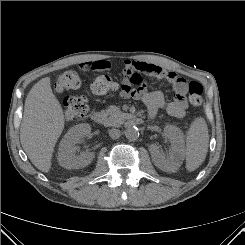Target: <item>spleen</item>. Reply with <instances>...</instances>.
Instances as JSON below:
<instances>
[{"label": "spleen", "mask_w": 245, "mask_h": 245, "mask_svg": "<svg viewBox=\"0 0 245 245\" xmlns=\"http://www.w3.org/2000/svg\"><path fill=\"white\" fill-rule=\"evenodd\" d=\"M209 134L205 120L196 118L188 130L186 144V168L194 171L204 161L208 149Z\"/></svg>", "instance_id": "obj_1"}]
</instances>
